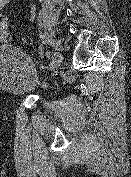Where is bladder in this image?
Listing matches in <instances>:
<instances>
[{"label":"bladder","mask_w":131,"mask_h":177,"mask_svg":"<svg viewBox=\"0 0 131 177\" xmlns=\"http://www.w3.org/2000/svg\"><path fill=\"white\" fill-rule=\"evenodd\" d=\"M0 85L6 92L13 94L46 89V85L38 79L29 57L12 46H6L1 51Z\"/></svg>","instance_id":"1"}]
</instances>
